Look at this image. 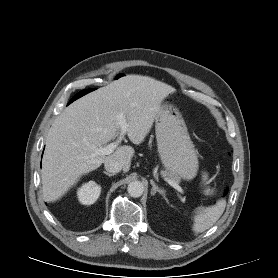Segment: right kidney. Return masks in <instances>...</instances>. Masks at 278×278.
<instances>
[{
    "mask_svg": "<svg viewBox=\"0 0 278 278\" xmlns=\"http://www.w3.org/2000/svg\"><path fill=\"white\" fill-rule=\"evenodd\" d=\"M101 193V186L95 181H89L83 184L77 191V197L81 204L91 205L93 204Z\"/></svg>",
    "mask_w": 278,
    "mask_h": 278,
    "instance_id": "obj_1",
    "label": "right kidney"
}]
</instances>
